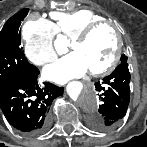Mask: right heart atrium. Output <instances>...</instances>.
I'll use <instances>...</instances> for the list:
<instances>
[{
    "label": "right heart atrium",
    "mask_w": 147,
    "mask_h": 147,
    "mask_svg": "<svg viewBox=\"0 0 147 147\" xmlns=\"http://www.w3.org/2000/svg\"><path fill=\"white\" fill-rule=\"evenodd\" d=\"M54 25L40 16H32L22 28L25 55L36 66H44L56 58L53 42Z\"/></svg>",
    "instance_id": "obj_1"
}]
</instances>
